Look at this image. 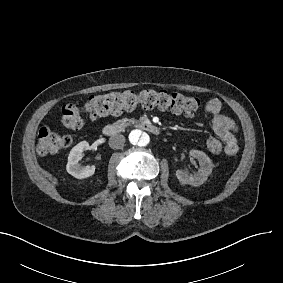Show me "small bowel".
I'll list each match as a JSON object with an SVG mask.
<instances>
[{
    "mask_svg": "<svg viewBox=\"0 0 283 283\" xmlns=\"http://www.w3.org/2000/svg\"><path fill=\"white\" fill-rule=\"evenodd\" d=\"M223 107L219 99H211L207 102L205 110L210 116L214 133L224 143L225 155L233 157L239 150L236 137L237 127L235 122L223 113Z\"/></svg>",
    "mask_w": 283,
    "mask_h": 283,
    "instance_id": "small-bowel-1",
    "label": "small bowel"
}]
</instances>
